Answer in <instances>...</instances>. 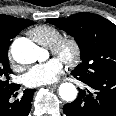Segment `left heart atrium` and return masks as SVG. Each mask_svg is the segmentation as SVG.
<instances>
[{"mask_svg":"<svg viewBox=\"0 0 116 116\" xmlns=\"http://www.w3.org/2000/svg\"><path fill=\"white\" fill-rule=\"evenodd\" d=\"M64 68V61L60 57H53L46 62L32 66L24 75L26 86L35 87L55 82Z\"/></svg>","mask_w":116,"mask_h":116,"instance_id":"left-heart-atrium-1","label":"left heart atrium"}]
</instances>
